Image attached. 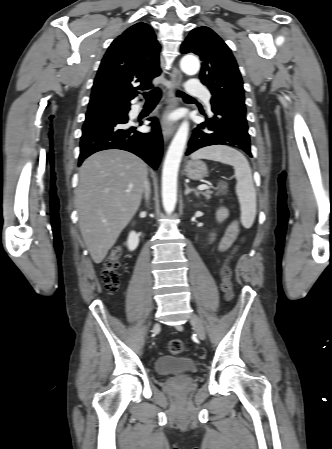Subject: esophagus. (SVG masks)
<instances>
[{
    "instance_id": "obj_1",
    "label": "esophagus",
    "mask_w": 332,
    "mask_h": 449,
    "mask_svg": "<svg viewBox=\"0 0 332 449\" xmlns=\"http://www.w3.org/2000/svg\"><path fill=\"white\" fill-rule=\"evenodd\" d=\"M182 73L177 69L173 68L171 74V83L173 88H177L180 86L182 82ZM169 103L164 112L161 128L164 139L167 140L176 130L177 124L168 120V114L179 104V99L175 96L174 91H170L168 94Z\"/></svg>"
}]
</instances>
